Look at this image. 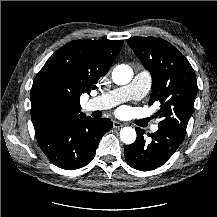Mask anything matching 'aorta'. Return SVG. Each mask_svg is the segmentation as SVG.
Instances as JSON below:
<instances>
[{"label": "aorta", "mask_w": 217, "mask_h": 217, "mask_svg": "<svg viewBox=\"0 0 217 217\" xmlns=\"http://www.w3.org/2000/svg\"><path fill=\"white\" fill-rule=\"evenodd\" d=\"M133 78V70L126 64L118 65L112 72V80L117 85L128 84ZM136 131L131 127H124L120 131V139L125 144H132L136 140Z\"/></svg>", "instance_id": "762f6f07"}]
</instances>
